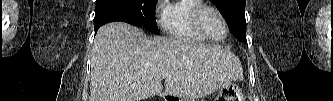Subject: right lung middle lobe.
<instances>
[{"mask_svg":"<svg viewBox=\"0 0 333 101\" xmlns=\"http://www.w3.org/2000/svg\"><path fill=\"white\" fill-rule=\"evenodd\" d=\"M133 15L136 26H142L148 31L159 35L155 19V7L158 0H119ZM100 0H96L98 4Z\"/></svg>","mask_w":333,"mask_h":101,"instance_id":"obj_1","label":"right lung middle lobe"}]
</instances>
